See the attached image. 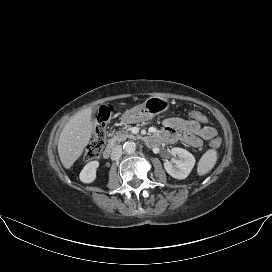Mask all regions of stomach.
<instances>
[{
    "label": "stomach",
    "mask_w": 272,
    "mask_h": 272,
    "mask_svg": "<svg viewBox=\"0 0 272 272\" xmlns=\"http://www.w3.org/2000/svg\"><path fill=\"white\" fill-rule=\"evenodd\" d=\"M169 106L170 102L168 99L159 96H151L146 99L144 103L127 110L122 115L121 120L125 124L147 121L166 111Z\"/></svg>",
    "instance_id": "1"
}]
</instances>
